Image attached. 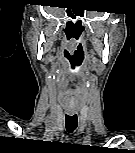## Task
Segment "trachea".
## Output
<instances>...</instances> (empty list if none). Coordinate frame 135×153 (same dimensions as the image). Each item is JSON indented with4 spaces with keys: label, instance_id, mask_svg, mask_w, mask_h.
Here are the masks:
<instances>
[{
    "label": "trachea",
    "instance_id": "1",
    "mask_svg": "<svg viewBox=\"0 0 135 153\" xmlns=\"http://www.w3.org/2000/svg\"><path fill=\"white\" fill-rule=\"evenodd\" d=\"M78 119L77 115H66V129L69 133H72L77 127Z\"/></svg>",
    "mask_w": 135,
    "mask_h": 153
}]
</instances>
